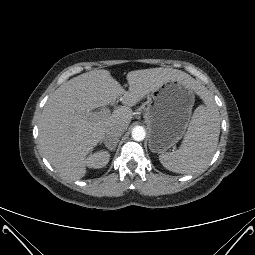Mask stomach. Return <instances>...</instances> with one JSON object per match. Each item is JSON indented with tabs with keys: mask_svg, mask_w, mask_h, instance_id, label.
I'll use <instances>...</instances> for the list:
<instances>
[{
	"mask_svg": "<svg viewBox=\"0 0 255 255\" xmlns=\"http://www.w3.org/2000/svg\"><path fill=\"white\" fill-rule=\"evenodd\" d=\"M145 122L149 148L163 154L185 134L194 104V92L179 79H172L151 91L147 97Z\"/></svg>",
	"mask_w": 255,
	"mask_h": 255,
	"instance_id": "0dacf381",
	"label": "stomach"
}]
</instances>
